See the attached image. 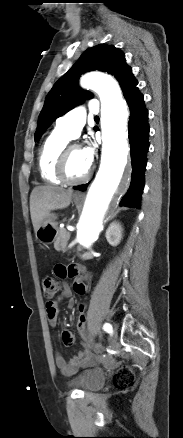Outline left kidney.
<instances>
[{"mask_svg":"<svg viewBox=\"0 0 183 438\" xmlns=\"http://www.w3.org/2000/svg\"><path fill=\"white\" fill-rule=\"evenodd\" d=\"M106 239L108 243L112 246H117L122 239V227L119 222H112L107 231H106Z\"/></svg>","mask_w":183,"mask_h":438,"instance_id":"left-kidney-1","label":"left kidney"}]
</instances>
